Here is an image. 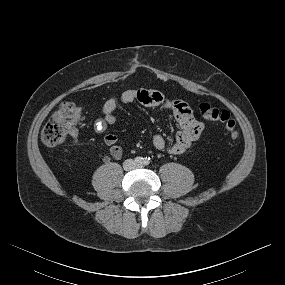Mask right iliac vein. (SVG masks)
Here are the masks:
<instances>
[{
	"label": "right iliac vein",
	"mask_w": 285,
	"mask_h": 285,
	"mask_svg": "<svg viewBox=\"0 0 285 285\" xmlns=\"http://www.w3.org/2000/svg\"><path fill=\"white\" fill-rule=\"evenodd\" d=\"M126 166H127V167H131V166H132V163H131V162H128V163L126 164Z\"/></svg>",
	"instance_id": "right-iliac-vein-1"
}]
</instances>
